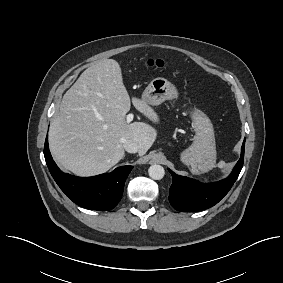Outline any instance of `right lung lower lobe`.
I'll list each match as a JSON object with an SVG mask.
<instances>
[{
	"label": "right lung lower lobe",
	"mask_w": 283,
	"mask_h": 283,
	"mask_svg": "<svg viewBox=\"0 0 283 283\" xmlns=\"http://www.w3.org/2000/svg\"><path fill=\"white\" fill-rule=\"evenodd\" d=\"M44 156L50 173L60 189L77 205L92 210H111L118 204L126 178L133 168L122 166L111 173L88 178L62 173L52 159L47 137Z\"/></svg>",
	"instance_id": "1"
}]
</instances>
